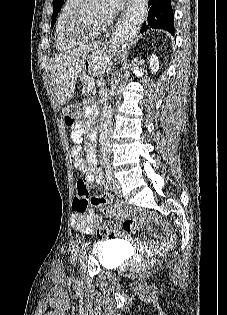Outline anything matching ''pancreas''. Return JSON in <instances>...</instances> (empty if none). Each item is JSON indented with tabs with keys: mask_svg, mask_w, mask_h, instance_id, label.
<instances>
[{
	"mask_svg": "<svg viewBox=\"0 0 227 315\" xmlns=\"http://www.w3.org/2000/svg\"><path fill=\"white\" fill-rule=\"evenodd\" d=\"M81 83H82V94L85 96H90L91 93H93L95 85H90L92 81H94V78L89 75H83L80 77Z\"/></svg>",
	"mask_w": 227,
	"mask_h": 315,
	"instance_id": "1",
	"label": "pancreas"
}]
</instances>
